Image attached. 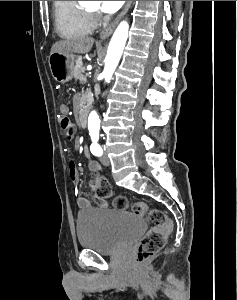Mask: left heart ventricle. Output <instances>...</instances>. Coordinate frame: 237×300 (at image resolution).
Instances as JSON below:
<instances>
[{
    "mask_svg": "<svg viewBox=\"0 0 237 300\" xmlns=\"http://www.w3.org/2000/svg\"><path fill=\"white\" fill-rule=\"evenodd\" d=\"M87 2H88L87 3L88 7L94 10H97L100 6L99 1H87Z\"/></svg>",
    "mask_w": 237,
    "mask_h": 300,
    "instance_id": "left-heart-ventricle-1",
    "label": "left heart ventricle"
}]
</instances>
